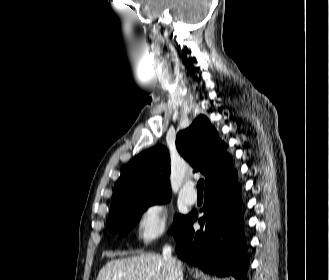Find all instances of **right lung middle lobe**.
I'll return each instance as SVG.
<instances>
[{"instance_id":"obj_1","label":"right lung middle lobe","mask_w":329,"mask_h":280,"mask_svg":"<svg viewBox=\"0 0 329 280\" xmlns=\"http://www.w3.org/2000/svg\"><path fill=\"white\" fill-rule=\"evenodd\" d=\"M169 199V196H156L127 202L125 206L109 214L107 227L114 233L124 236L137 224L142 213L149 206L166 203ZM185 219L186 216L176 214L171 231L174 233Z\"/></svg>"}]
</instances>
